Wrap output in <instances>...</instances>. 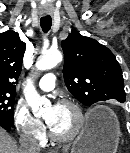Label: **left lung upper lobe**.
<instances>
[{
    "label": "left lung upper lobe",
    "mask_w": 130,
    "mask_h": 153,
    "mask_svg": "<svg viewBox=\"0 0 130 153\" xmlns=\"http://www.w3.org/2000/svg\"><path fill=\"white\" fill-rule=\"evenodd\" d=\"M64 81L85 106L116 99L125 101L122 70L113 53L95 39L72 30L61 42Z\"/></svg>",
    "instance_id": "left-lung-upper-lobe-1"
}]
</instances>
